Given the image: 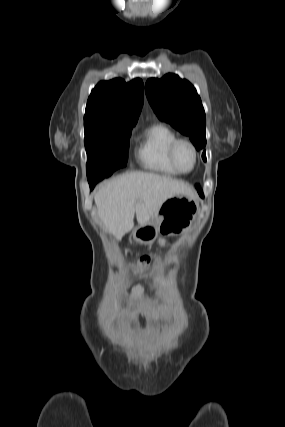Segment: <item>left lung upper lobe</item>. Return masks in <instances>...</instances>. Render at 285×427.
<instances>
[{"label":"left lung upper lobe","mask_w":285,"mask_h":427,"mask_svg":"<svg viewBox=\"0 0 285 427\" xmlns=\"http://www.w3.org/2000/svg\"><path fill=\"white\" fill-rule=\"evenodd\" d=\"M145 91L159 119L190 137L197 150L206 145V117L201 99L193 85L175 74L151 78ZM202 158L206 161L205 152Z\"/></svg>","instance_id":"1"}]
</instances>
